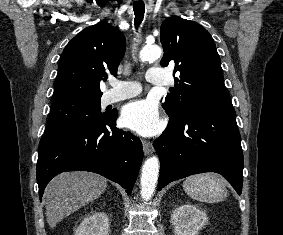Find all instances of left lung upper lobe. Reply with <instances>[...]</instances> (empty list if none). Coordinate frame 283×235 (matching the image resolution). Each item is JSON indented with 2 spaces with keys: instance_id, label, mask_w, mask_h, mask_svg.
<instances>
[{
  "instance_id": "left-lung-upper-lobe-1",
  "label": "left lung upper lobe",
  "mask_w": 283,
  "mask_h": 235,
  "mask_svg": "<svg viewBox=\"0 0 283 235\" xmlns=\"http://www.w3.org/2000/svg\"><path fill=\"white\" fill-rule=\"evenodd\" d=\"M164 49L161 66L174 64L175 88L164 99L170 120L196 111L232 109L226 91L220 57L209 32L194 21L176 16L167 18L160 28Z\"/></svg>"
}]
</instances>
